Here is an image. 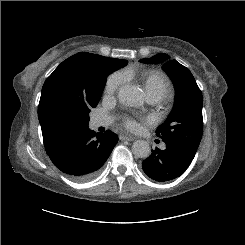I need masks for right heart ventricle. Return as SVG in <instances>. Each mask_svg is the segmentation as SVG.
<instances>
[{
	"instance_id": "1",
	"label": "right heart ventricle",
	"mask_w": 245,
	"mask_h": 245,
	"mask_svg": "<svg viewBox=\"0 0 245 245\" xmlns=\"http://www.w3.org/2000/svg\"><path fill=\"white\" fill-rule=\"evenodd\" d=\"M148 98L158 101L171 93V84L165 74L160 71H148L142 76Z\"/></svg>"
}]
</instances>
